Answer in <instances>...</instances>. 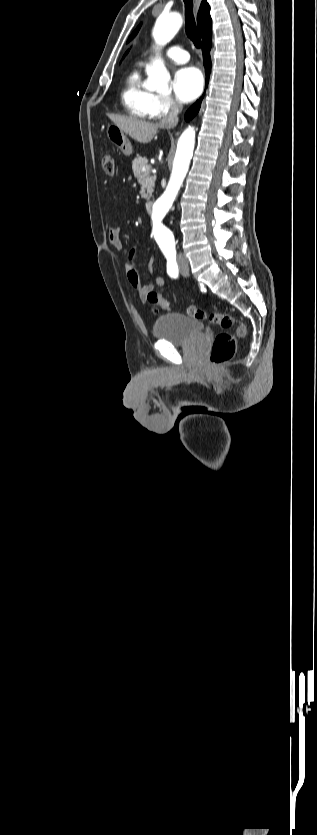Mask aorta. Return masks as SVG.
Masks as SVG:
<instances>
[{"label": "aorta", "instance_id": "obj_1", "mask_svg": "<svg viewBox=\"0 0 317 835\" xmlns=\"http://www.w3.org/2000/svg\"><path fill=\"white\" fill-rule=\"evenodd\" d=\"M181 25L182 17L179 12L170 11L167 14L161 13L156 18L152 32L155 44L158 47L166 45L174 38ZM146 73L147 79L144 82V86L147 89L156 90L158 92L168 90V83L171 76L161 58H156L152 64L146 68ZM194 145L195 129L193 126H189L184 130L178 140L172 173L167 188L153 207L152 221L155 224L154 236L157 239L164 238L170 244L174 243V237L165 223V216L172 206L173 201L188 172Z\"/></svg>", "mask_w": 317, "mask_h": 835}]
</instances>
